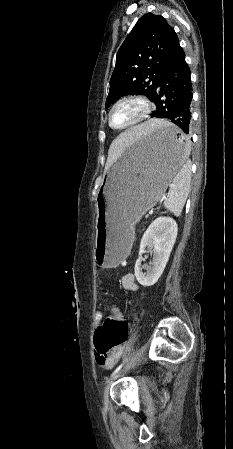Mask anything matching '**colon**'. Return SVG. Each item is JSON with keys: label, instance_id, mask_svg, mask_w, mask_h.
<instances>
[{"label": "colon", "instance_id": "5ec220e1", "mask_svg": "<svg viewBox=\"0 0 233 449\" xmlns=\"http://www.w3.org/2000/svg\"><path fill=\"white\" fill-rule=\"evenodd\" d=\"M110 313L94 335L95 353L107 354L122 346L128 337V324L122 319L115 305L109 306Z\"/></svg>", "mask_w": 233, "mask_h": 449}]
</instances>
